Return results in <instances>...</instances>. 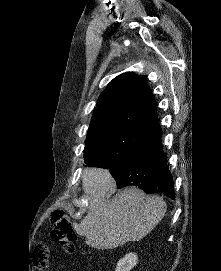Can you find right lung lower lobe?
I'll list each match as a JSON object with an SVG mask.
<instances>
[{
	"label": "right lung lower lobe",
	"mask_w": 221,
	"mask_h": 271,
	"mask_svg": "<svg viewBox=\"0 0 221 271\" xmlns=\"http://www.w3.org/2000/svg\"><path fill=\"white\" fill-rule=\"evenodd\" d=\"M118 188L137 186L147 194L160 193L174 199L172 175L161 145V127H152L125 158L107 168Z\"/></svg>",
	"instance_id": "obj_1"
}]
</instances>
